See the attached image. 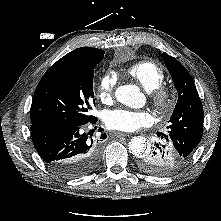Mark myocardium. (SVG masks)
<instances>
[{"instance_id": "myocardium-1", "label": "myocardium", "mask_w": 221, "mask_h": 221, "mask_svg": "<svg viewBox=\"0 0 221 221\" xmlns=\"http://www.w3.org/2000/svg\"><path fill=\"white\" fill-rule=\"evenodd\" d=\"M151 99L155 109L161 114H167L175 104V93L167 86L160 85L151 91Z\"/></svg>"}]
</instances>
